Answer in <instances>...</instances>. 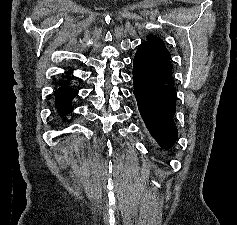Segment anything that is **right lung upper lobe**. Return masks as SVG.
<instances>
[{
    "label": "right lung upper lobe",
    "instance_id": "right-lung-upper-lobe-1",
    "mask_svg": "<svg viewBox=\"0 0 237 225\" xmlns=\"http://www.w3.org/2000/svg\"><path fill=\"white\" fill-rule=\"evenodd\" d=\"M59 84H69L67 81L65 83H63L62 81Z\"/></svg>",
    "mask_w": 237,
    "mask_h": 225
}]
</instances>
